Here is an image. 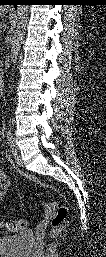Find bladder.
<instances>
[{"mask_svg": "<svg viewBox=\"0 0 106 257\" xmlns=\"http://www.w3.org/2000/svg\"><path fill=\"white\" fill-rule=\"evenodd\" d=\"M33 242L34 233L31 230L2 237L0 239V255L2 257H25L31 251Z\"/></svg>", "mask_w": 106, "mask_h": 257, "instance_id": "obj_1", "label": "bladder"}]
</instances>
